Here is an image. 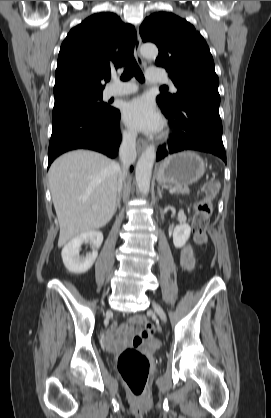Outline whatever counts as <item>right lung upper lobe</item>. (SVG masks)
I'll use <instances>...</instances> for the list:
<instances>
[{"instance_id":"1","label":"right lung upper lobe","mask_w":271,"mask_h":418,"mask_svg":"<svg viewBox=\"0 0 271 418\" xmlns=\"http://www.w3.org/2000/svg\"><path fill=\"white\" fill-rule=\"evenodd\" d=\"M135 41L134 27L110 12L94 14L71 29L58 55L55 101L102 93V82L132 56Z\"/></svg>"}]
</instances>
